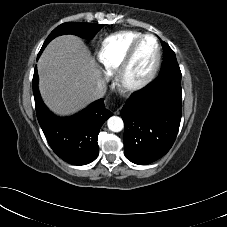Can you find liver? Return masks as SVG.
Masks as SVG:
<instances>
[{
    "label": "liver",
    "mask_w": 227,
    "mask_h": 227,
    "mask_svg": "<svg viewBox=\"0 0 227 227\" xmlns=\"http://www.w3.org/2000/svg\"><path fill=\"white\" fill-rule=\"evenodd\" d=\"M39 89L45 104L56 114L70 115L94 99L102 80L83 41L72 35L52 40L38 61Z\"/></svg>",
    "instance_id": "obj_1"
}]
</instances>
